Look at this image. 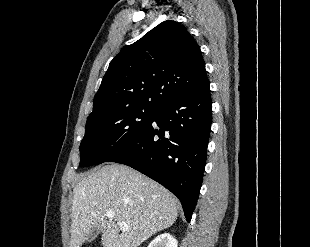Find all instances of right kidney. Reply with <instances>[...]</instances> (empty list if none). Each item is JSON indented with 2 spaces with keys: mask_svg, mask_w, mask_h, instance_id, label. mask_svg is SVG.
<instances>
[{
  "mask_svg": "<svg viewBox=\"0 0 310 247\" xmlns=\"http://www.w3.org/2000/svg\"><path fill=\"white\" fill-rule=\"evenodd\" d=\"M148 247H178V241L170 233H163L152 240Z\"/></svg>",
  "mask_w": 310,
  "mask_h": 247,
  "instance_id": "right-kidney-1",
  "label": "right kidney"
}]
</instances>
